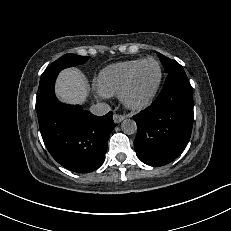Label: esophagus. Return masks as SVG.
I'll return each instance as SVG.
<instances>
[{
	"mask_svg": "<svg viewBox=\"0 0 231 231\" xmlns=\"http://www.w3.org/2000/svg\"><path fill=\"white\" fill-rule=\"evenodd\" d=\"M124 119H125L124 115H121V114H114L113 115V120H114L115 123H120Z\"/></svg>",
	"mask_w": 231,
	"mask_h": 231,
	"instance_id": "34e87169",
	"label": "esophagus"
}]
</instances>
